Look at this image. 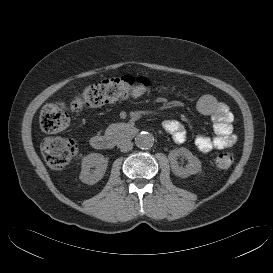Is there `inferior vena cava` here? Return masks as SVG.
Listing matches in <instances>:
<instances>
[{
	"instance_id": "inferior-vena-cava-1",
	"label": "inferior vena cava",
	"mask_w": 273,
	"mask_h": 273,
	"mask_svg": "<svg viewBox=\"0 0 273 273\" xmlns=\"http://www.w3.org/2000/svg\"><path fill=\"white\" fill-rule=\"evenodd\" d=\"M121 152H128L133 148V143L130 141H122L118 145Z\"/></svg>"
}]
</instances>
